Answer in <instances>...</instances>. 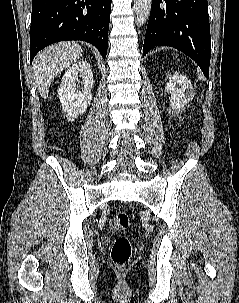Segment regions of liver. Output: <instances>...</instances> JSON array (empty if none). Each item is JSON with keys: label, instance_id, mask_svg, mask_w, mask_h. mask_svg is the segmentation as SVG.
<instances>
[{"label": "liver", "instance_id": "liver-1", "mask_svg": "<svg viewBox=\"0 0 239 303\" xmlns=\"http://www.w3.org/2000/svg\"><path fill=\"white\" fill-rule=\"evenodd\" d=\"M83 56L76 42H60L38 53L33 62L35 85L43 99H47L54 78Z\"/></svg>", "mask_w": 239, "mask_h": 303}]
</instances>
